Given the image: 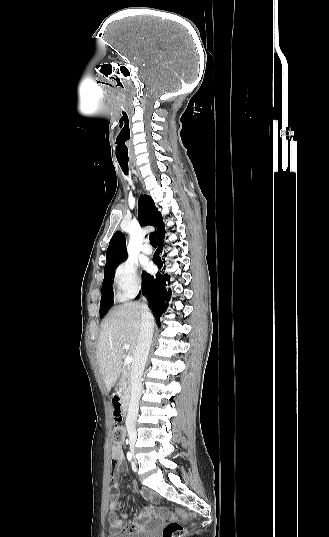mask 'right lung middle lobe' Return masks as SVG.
Wrapping results in <instances>:
<instances>
[{"instance_id": "dd1d6c3e", "label": "right lung middle lobe", "mask_w": 329, "mask_h": 537, "mask_svg": "<svg viewBox=\"0 0 329 537\" xmlns=\"http://www.w3.org/2000/svg\"><path fill=\"white\" fill-rule=\"evenodd\" d=\"M119 263H114L104 269L105 275H104V280L102 283V291H101L102 296H101V303H100V317H103L104 315H106L108 309L113 304L112 276L115 271V268L118 266Z\"/></svg>"}]
</instances>
